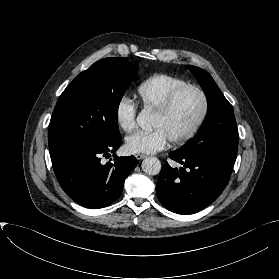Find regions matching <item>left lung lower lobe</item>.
<instances>
[{
    "label": "left lung lower lobe",
    "instance_id": "left-lung-lower-lobe-1",
    "mask_svg": "<svg viewBox=\"0 0 279 279\" xmlns=\"http://www.w3.org/2000/svg\"><path fill=\"white\" fill-rule=\"evenodd\" d=\"M170 158L183 167L178 170L166 162L156 185L161 204L177 214L195 213L216 200L229 182L231 166L210 158H190L171 152Z\"/></svg>",
    "mask_w": 279,
    "mask_h": 279
}]
</instances>
